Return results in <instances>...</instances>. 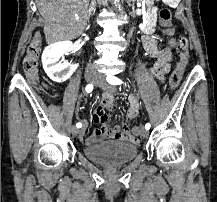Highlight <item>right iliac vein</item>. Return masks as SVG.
Instances as JSON below:
<instances>
[{"label":"right iliac vein","mask_w":217,"mask_h":202,"mask_svg":"<svg viewBox=\"0 0 217 202\" xmlns=\"http://www.w3.org/2000/svg\"><path fill=\"white\" fill-rule=\"evenodd\" d=\"M85 80L89 83L95 82L96 76L93 73H86ZM71 132L73 136H77L80 133V131L75 126H72Z\"/></svg>","instance_id":"1"}]
</instances>
